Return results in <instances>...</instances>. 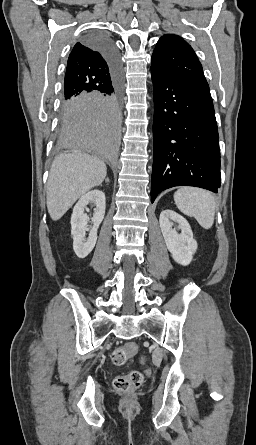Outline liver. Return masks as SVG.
<instances>
[{"mask_svg":"<svg viewBox=\"0 0 256 445\" xmlns=\"http://www.w3.org/2000/svg\"><path fill=\"white\" fill-rule=\"evenodd\" d=\"M106 174V164L97 157L73 152L58 155L47 181V209L52 220H59L80 196L101 185Z\"/></svg>","mask_w":256,"mask_h":445,"instance_id":"6515ba94","label":"liver"}]
</instances>
